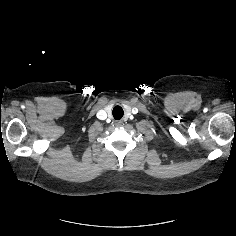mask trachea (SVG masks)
Here are the masks:
<instances>
[{
    "label": "trachea",
    "mask_w": 236,
    "mask_h": 236,
    "mask_svg": "<svg viewBox=\"0 0 236 236\" xmlns=\"http://www.w3.org/2000/svg\"><path fill=\"white\" fill-rule=\"evenodd\" d=\"M117 108V107H116ZM115 108V109H116ZM113 110V116L115 117V119H120L122 116H119V115H121V114H119V112L117 111V110Z\"/></svg>",
    "instance_id": "trachea-1"
}]
</instances>
